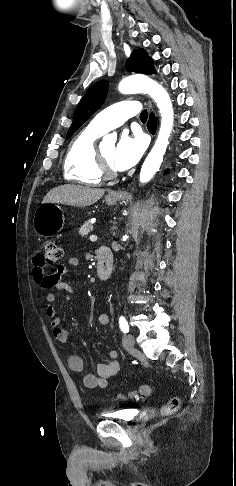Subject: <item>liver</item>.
I'll list each match as a JSON object with an SVG mask.
<instances>
[{
	"label": "liver",
	"mask_w": 236,
	"mask_h": 486,
	"mask_svg": "<svg viewBox=\"0 0 236 486\" xmlns=\"http://www.w3.org/2000/svg\"><path fill=\"white\" fill-rule=\"evenodd\" d=\"M105 193L104 189H95L80 185H62L51 189L43 203H61L76 207H86L96 203Z\"/></svg>",
	"instance_id": "6515ba94"
}]
</instances>
